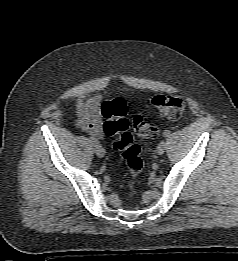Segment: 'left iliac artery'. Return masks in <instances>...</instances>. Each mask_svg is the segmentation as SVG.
<instances>
[{
	"instance_id": "obj_1",
	"label": "left iliac artery",
	"mask_w": 238,
	"mask_h": 261,
	"mask_svg": "<svg viewBox=\"0 0 238 261\" xmlns=\"http://www.w3.org/2000/svg\"><path fill=\"white\" fill-rule=\"evenodd\" d=\"M163 135H164V137H169L170 136V131L165 130Z\"/></svg>"
}]
</instances>
